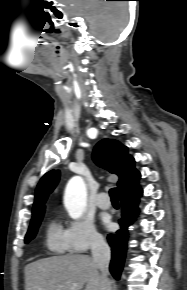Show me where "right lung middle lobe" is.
Wrapping results in <instances>:
<instances>
[{"mask_svg":"<svg viewBox=\"0 0 187 290\" xmlns=\"http://www.w3.org/2000/svg\"><path fill=\"white\" fill-rule=\"evenodd\" d=\"M42 218H43V214L39 215L37 218L31 221L30 227L25 236V243H28L35 237Z\"/></svg>","mask_w":187,"mask_h":290,"instance_id":"obj_1","label":"right lung middle lobe"}]
</instances>
